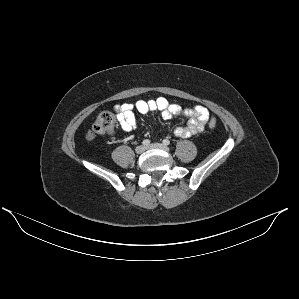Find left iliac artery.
<instances>
[{"instance_id": "44dca946", "label": "left iliac artery", "mask_w": 299, "mask_h": 299, "mask_svg": "<svg viewBox=\"0 0 299 299\" xmlns=\"http://www.w3.org/2000/svg\"><path fill=\"white\" fill-rule=\"evenodd\" d=\"M163 143H164L165 145H169V144H170V141H169L168 139H164V140H163Z\"/></svg>"}]
</instances>
